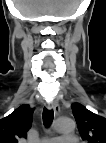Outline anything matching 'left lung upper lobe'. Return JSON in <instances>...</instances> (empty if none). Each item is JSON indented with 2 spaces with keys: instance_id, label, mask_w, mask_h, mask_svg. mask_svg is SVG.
I'll return each instance as SVG.
<instances>
[{
  "instance_id": "left-lung-upper-lobe-1",
  "label": "left lung upper lobe",
  "mask_w": 106,
  "mask_h": 143,
  "mask_svg": "<svg viewBox=\"0 0 106 143\" xmlns=\"http://www.w3.org/2000/svg\"><path fill=\"white\" fill-rule=\"evenodd\" d=\"M79 133L88 143H106V118L89 111L80 103L71 106Z\"/></svg>"
}]
</instances>
